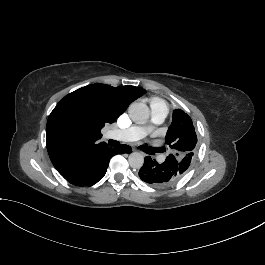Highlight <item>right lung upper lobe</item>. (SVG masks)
<instances>
[{
  "label": "right lung upper lobe",
  "mask_w": 265,
  "mask_h": 265,
  "mask_svg": "<svg viewBox=\"0 0 265 265\" xmlns=\"http://www.w3.org/2000/svg\"><path fill=\"white\" fill-rule=\"evenodd\" d=\"M146 91L135 86L93 84L65 96L51 112L46 127L49 157L61 174L98 148L101 129L113 123Z\"/></svg>",
  "instance_id": "right-lung-upper-lobe-1"
}]
</instances>
